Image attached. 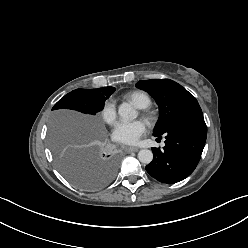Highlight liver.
<instances>
[{"label": "liver", "instance_id": "liver-1", "mask_svg": "<svg viewBox=\"0 0 248 248\" xmlns=\"http://www.w3.org/2000/svg\"><path fill=\"white\" fill-rule=\"evenodd\" d=\"M64 118L66 121L60 125H57L58 131L69 133L70 131L76 130L78 126H85L88 138H92L96 135L94 132L93 124L90 121L83 119L82 117L71 115H67ZM52 132L53 131H51V134Z\"/></svg>", "mask_w": 248, "mask_h": 248}]
</instances>
